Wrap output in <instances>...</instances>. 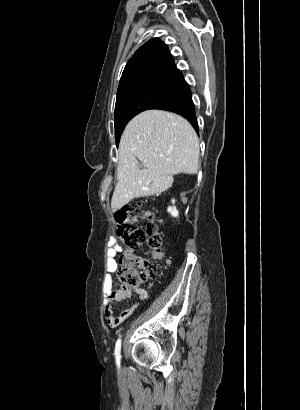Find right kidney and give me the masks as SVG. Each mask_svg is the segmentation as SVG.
<instances>
[{
    "label": "right kidney",
    "instance_id": "1",
    "mask_svg": "<svg viewBox=\"0 0 300 410\" xmlns=\"http://www.w3.org/2000/svg\"><path fill=\"white\" fill-rule=\"evenodd\" d=\"M172 203H173V204L175 203V200H174V199L172 200ZM167 211H168V212L171 214V216H173V217H178V215H179V212H178V210L176 209L175 206H170V207H168Z\"/></svg>",
    "mask_w": 300,
    "mask_h": 410
}]
</instances>
